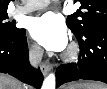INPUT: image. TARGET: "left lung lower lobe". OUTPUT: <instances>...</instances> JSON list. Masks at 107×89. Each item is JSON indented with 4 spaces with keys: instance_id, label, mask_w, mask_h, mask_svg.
<instances>
[{
    "instance_id": "1",
    "label": "left lung lower lobe",
    "mask_w": 107,
    "mask_h": 89,
    "mask_svg": "<svg viewBox=\"0 0 107 89\" xmlns=\"http://www.w3.org/2000/svg\"><path fill=\"white\" fill-rule=\"evenodd\" d=\"M75 36L79 41L81 55L77 63L57 68V87L75 80H97L107 83V25L93 26L82 35Z\"/></svg>"
}]
</instances>
